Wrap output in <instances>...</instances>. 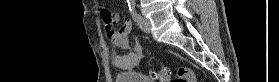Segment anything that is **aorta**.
<instances>
[{
  "instance_id": "obj_1",
  "label": "aorta",
  "mask_w": 279,
  "mask_h": 82,
  "mask_svg": "<svg viewBox=\"0 0 279 82\" xmlns=\"http://www.w3.org/2000/svg\"><path fill=\"white\" fill-rule=\"evenodd\" d=\"M128 4L133 6L135 4V0H128Z\"/></svg>"
}]
</instances>
